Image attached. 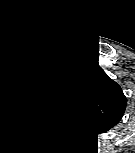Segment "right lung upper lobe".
I'll return each instance as SVG.
<instances>
[{"mask_svg": "<svg viewBox=\"0 0 135 153\" xmlns=\"http://www.w3.org/2000/svg\"><path fill=\"white\" fill-rule=\"evenodd\" d=\"M45 91H46V83L40 81L35 88V93L38 96H41Z\"/></svg>", "mask_w": 135, "mask_h": 153, "instance_id": "right-lung-upper-lobe-1", "label": "right lung upper lobe"}]
</instances>
